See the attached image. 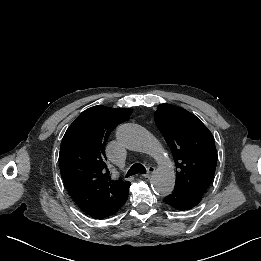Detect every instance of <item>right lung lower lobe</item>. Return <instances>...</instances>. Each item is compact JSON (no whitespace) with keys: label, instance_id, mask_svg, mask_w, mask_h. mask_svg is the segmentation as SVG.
<instances>
[{"label":"right lung lower lobe","instance_id":"98d812e1","mask_svg":"<svg viewBox=\"0 0 261 261\" xmlns=\"http://www.w3.org/2000/svg\"><path fill=\"white\" fill-rule=\"evenodd\" d=\"M126 200H127V197H126V199L123 201V203H122L118 208H116L115 210L111 211L110 213H107V214L103 215L102 217H98V218H96V219H104V218H106V217H109V216H111V215H114L115 213H117V211L119 210V208L126 202Z\"/></svg>","mask_w":261,"mask_h":261}]
</instances>
